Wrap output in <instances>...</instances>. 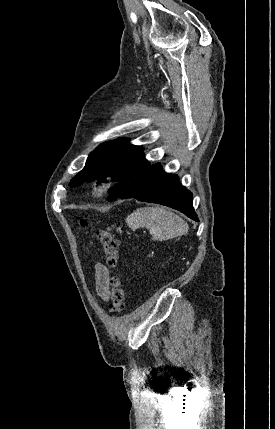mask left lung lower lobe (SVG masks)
I'll return each instance as SVG.
<instances>
[{
  "instance_id": "0a47b994",
  "label": "left lung lower lobe",
  "mask_w": 275,
  "mask_h": 429,
  "mask_svg": "<svg viewBox=\"0 0 275 429\" xmlns=\"http://www.w3.org/2000/svg\"><path fill=\"white\" fill-rule=\"evenodd\" d=\"M110 194L112 195L109 199L135 198L162 204L180 210L189 218L198 221L192 207V193L181 185L177 175L165 172L159 163L150 165L123 194L118 185L110 190Z\"/></svg>"
}]
</instances>
